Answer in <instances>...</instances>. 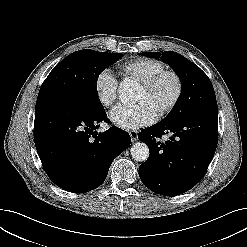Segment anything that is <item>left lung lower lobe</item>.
I'll return each instance as SVG.
<instances>
[{
    "label": "left lung lower lobe",
    "mask_w": 247,
    "mask_h": 247,
    "mask_svg": "<svg viewBox=\"0 0 247 247\" xmlns=\"http://www.w3.org/2000/svg\"><path fill=\"white\" fill-rule=\"evenodd\" d=\"M166 134L170 138L161 141ZM138 138L150 150L149 158L139 167L142 183L157 194L179 195L193 188L206 173L218 142V114L162 120L143 129Z\"/></svg>",
    "instance_id": "left-lung-lower-lobe-1"
}]
</instances>
